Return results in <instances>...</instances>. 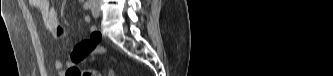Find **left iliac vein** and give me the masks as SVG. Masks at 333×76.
Instances as JSON below:
<instances>
[{"mask_svg":"<svg viewBox=\"0 0 333 76\" xmlns=\"http://www.w3.org/2000/svg\"><path fill=\"white\" fill-rule=\"evenodd\" d=\"M92 15L97 18L99 16V9H98V5L94 4L93 8H92Z\"/></svg>","mask_w":333,"mask_h":76,"instance_id":"left-iliac-vein-1","label":"left iliac vein"}]
</instances>
